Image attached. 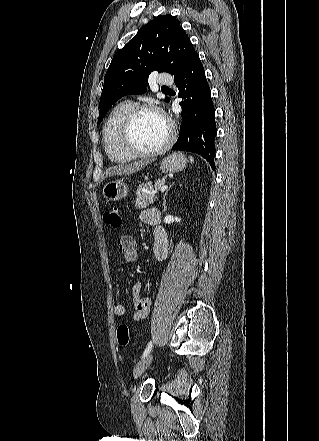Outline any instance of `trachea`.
I'll use <instances>...</instances> for the list:
<instances>
[{
    "instance_id": "3493384b",
    "label": "trachea",
    "mask_w": 319,
    "mask_h": 441,
    "mask_svg": "<svg viewBox=\"0 0 319 441\" xmlns=\"http://www.w3.org/2000/svg\"><path fill=\"white\" fill-rule=\"evenodd\" d=\"M162 89H168V87H165V86H164V87H162Z\"/></svg>"
}]
</instances>
